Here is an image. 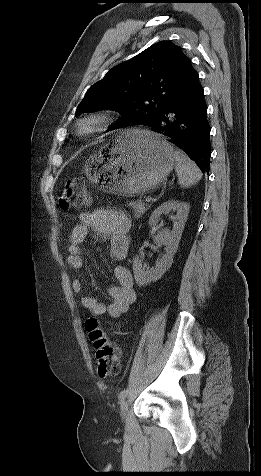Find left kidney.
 Segmentation results:
<instances>
[{
    "instance_id": "1",
    "label": "left kidney",
    "mask_w": 261,
    "mask_h": 476,
    "mask_svg": "<svg viewBox=\"0 0 261 476\" xmlns=\"http://www.w3.org/2000/svg\"><path fill=\"white\" fill-rule=\"evenodd\" d=\"M190 206L185 202L169 200L161 204L149 218V225L156 226L162 214L176 211L177 221L174 223L173 229H162L154 236V241L158 246H165V254L157 259L153 268H147L143 265L139 256L133 259V273L137 284L147 285L152 281L159 280L162 275L171 267L173 257L177 252L179 241L184 230L185 222L189 213Z\"/></svg>"
}]
</instances>
